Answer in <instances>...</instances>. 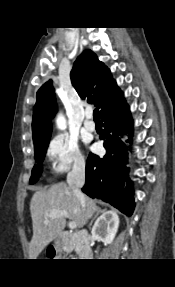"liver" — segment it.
<instances>
[{
  "label": "liver",
  "instance_id": "6515ba94",
  "mask_svg": "<svg viewBox=\"0 0 175 287\" xmlns=\"http://www.w3.org/2000/svg\"><path fill=\"white\" fill-rule=\"evenodd\" d=\"M86 206L83 208L70 186L58 183L46 191H37L32 196L30 211L33 225V237L29 244V257L36 259L41 251L63 231L66 217L51 218L52 210H65L68 218L82 228L88 220L98 212L96 202L85 197ZM48 222L45 223V220Z\"/></svg>",
  "mask_w": 175,
  "mask_h": 287
}]
</instances>
